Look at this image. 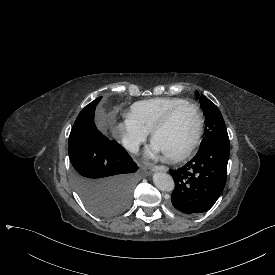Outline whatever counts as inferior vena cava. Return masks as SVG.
Segmentation results:
<instances>
[{
  "label": "inferior vena cava",
  "mask_w": 275,
  "mask_h": 275,
  "mask_svg": "<svg viewBox=\"0 0 275 275\" xmlns=\"http://www.w3.org/2000/svg\"><path fill=\"white\" fill-rule=\"evenodd\" d=\"M122 143L124 148L130 151L131 153H137L139 151V142L136 140L124 138L122 140Z\"/></svg>",
  "instance_id": "inferior-vena-cava-1"
}]
</instances>
